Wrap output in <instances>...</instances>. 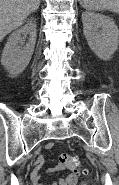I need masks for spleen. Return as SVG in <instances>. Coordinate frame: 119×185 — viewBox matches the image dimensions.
Here are the masks:
<instances>
[{"label":"spleen","mask_w":119,"mask_h":185,"mask_svg":"<svg viewBox=\"0 0 119 185\" xmlns=\"http://www.w3.org/2000/svg\"><path fill=\"white\" fill-rule=\"evenodd\" d=\"M79 2L89 11L110 10L119 14V0H79Z\"/></svg>","instance_id":"1"}]
</instances>
